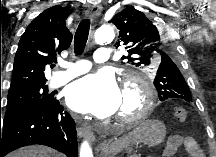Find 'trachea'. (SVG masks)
<instances>
[{
  "instance_id": "1",
  "label": "trachea",
  "mask_w": 216,
  "mask_h": 157,
  "mask_svg": "<svg viewBox=\"0 0 216 157\" xmlns=\"http://www.w3.org/2000/svg\"><path fill=\"white\" fill-rule=\"evenodd\" d=\"M90 30V19H83L75 33L74 37V53L80 55L83 53Z\"/></svg>"
}]
</instances>
